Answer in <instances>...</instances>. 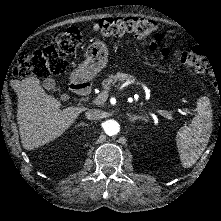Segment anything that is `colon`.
<instances>
[{"label":"colon","instance_id":"1","mask_svg":"<svg viewBox=\"0 0 221 221\" xmlns=\"http://www.w3.org/2000/svg\"><path fill=\"white\" fill-rule=\"evenodd\" d=\"M93 28L96 33L106 37L131 34L136 39L145 40L151 50H156L158 44L163 40V35L157 25L151 20L140 17L103 18L98 20ZM48 42L49 47L20 55L12 75L21 79L35 76L51 80L53 75L65 71L68 63L64 58L74 54L82 42V34L79 30L69 29L65 32L51 34ZM166 53L172 54L180 62L194 67L199 74L211 72L210 60L199 50L178 52L166 50Z\"/></svg>","mask_w":221,"mask_h":221}]
</instances>
